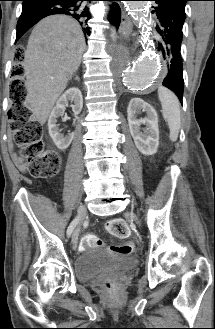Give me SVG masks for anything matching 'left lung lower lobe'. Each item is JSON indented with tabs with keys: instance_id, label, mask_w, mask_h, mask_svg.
Listing matches in <instances>:
<instances>
[{
	"instance_id": "1",
	"label": "left lung lower lobe",
	"mask_w": 215,
	"mask_h": 329,
	"mask_svg": "<svg viewBox=\"0 0 215 329\" xmlns=\"http://www.w3.org/2000/svg\"><path fill=\"white\" fill-rule=\"evenodd\" d=\"M153 12L156 13L160 22V27H156L160 34L156 41V48L164 57L167 65V75L162 84L172 90L182 103L184 80L181 42L185 18L161 3H157Z\"/></svg>"
}]
</instances>
